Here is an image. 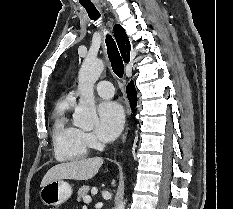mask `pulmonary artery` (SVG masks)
Segmentation results:
<instances>
[{
	"label": "pulmonary artery",
	"mask_w": 233,
	"mask_h": 209,
	"mask_svg": "<svg viewBox=\"0 0 233 209\" xmlns=\"http://www.w3.org/2000/svg\"><path fill=\"white\" fill-rule=\"evenodd\" d=\"M95 90L103 98H110L114 95V88L111 82L102 80L97 83ZM72 94H75L72 92Z\"/></svg>",
	"instance_id": "e3ab8cb5"
}]
</instances>
